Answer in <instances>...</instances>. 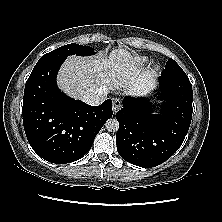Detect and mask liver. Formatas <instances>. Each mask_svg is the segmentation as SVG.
I'll use <instances>...</instances> for the list:
<instances>
[{"label":"liver","mask_w":222,"mask_h":222,"mask_svg":"<svg viewBox=\"0 0 222 222\" xmlns=\"http://www.w3.org/2000/svg\"><path fill=\"white\" fill-rule=\"evenodd\" d=\"M138 56L119 48L107 57L71 56L58 74V86L67 95L82 99L87 93L104 88H123L128 94L145 95L154 88L155 77L138 67Z\"/></svg>","instance_id":"liver-1"}]
</instances>
